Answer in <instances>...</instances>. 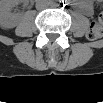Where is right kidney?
Listing matches in <instances>:
<instances>
[{"mask_svg": "<svg viewBox=\"0 0 103 103\" xmlns=\"http://www.w3.org/2000/svg\"><path fill=\"white\" fill-rule=\"evenodd\" d=\"M16 0H3L0 4V25L4 29H11L18 25L19 18L11 12L12 7L17 5Z\"/></svg>", "mask_w": 103, "mask_h": 103, "instance_id": "ca27d5eb", "label": "right kidney"}]
</instances>
